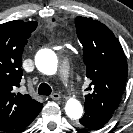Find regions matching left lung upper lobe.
Instances as JSON below:
<instances>
[{"mask_svg": "<svg viewBox=\"0 0 133 133\" xmlns=\"http://www.w3.org/2000/svg\"><path fill=\"white\" fill-rule=\"evenodd\" d=\"M76 32L83 46L86 76L90 80L85 109L113 115L127 79V62L121 44L102 23L77 17Z\"/></svg>", "mask_w": 133, "mask_h": 133, "instance_id": "left-lung-upper-lobe-1", "label": "left lung upper lobe"}]
</instances>
